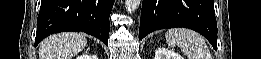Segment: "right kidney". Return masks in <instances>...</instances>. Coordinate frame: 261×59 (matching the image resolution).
Returning <instances> with one entry per match:
<instances>
[{
  "instance_id": "1",
  "label": "right kidney",
  "mask_w": 261,
  "mask_h": 59,
  "mask_svg": "<svg viewBox=\"0 0 261 59\" xmlns=\"http://www.w3.org/2000/svg\"><path fill=\"white\" fill-rule=\"evenodd\" d=\"M77 59H97V57L96 56L81 55V56H78Z\"/></svg>"
}]
</instances>
